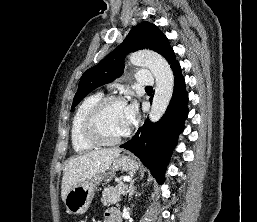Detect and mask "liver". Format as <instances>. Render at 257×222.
Masks as SVG:
<instances>
[{
    "mask_svg": "<svg viewBox=\"0 0 257 222\" xmlns=\"http://www.w3.org/2000/svg\"><path fill=\"white\" fill-rule=\"evenodd\" d=\"M121 149H100L71 158L63 171L61 198L65 201L67 193L79 183L105 171L119 156Z\"/></svg>",
    "mask_w": 257,
    "mask_h": 222,
    "instance_id": "1",
    "label": "liver"
}]
</instances>
